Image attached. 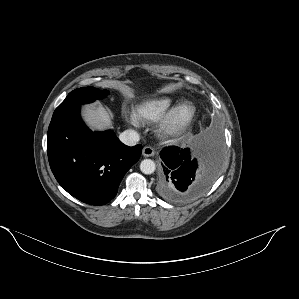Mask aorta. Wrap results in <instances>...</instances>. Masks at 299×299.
Masks as SVG:
<instances>
[{"label": "aorta", "mask_w": 299, "mask_h": 299, "mask_svg": "<svg viewBox=\"0 0 299 299\" xmlns=\"http://www.w3.org/2000/svg\"><path fill=\"white\" fill-rule=\"evenodd\" d=\"M156 169V164L151 159H144L140 163V170L144 174H152Z\"/></svg>", "instance_id": "1"}]
</instances>
